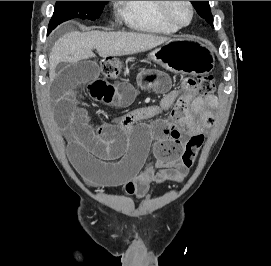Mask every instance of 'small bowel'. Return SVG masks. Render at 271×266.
I'll use <instances>...</instances> for the list:
<instances>
[{
  "instance_id": "small-bowel-1",
  "label": "small bowel",
  "mask_w": 271,
  "mask_h": 266,
  "mask_svg": "<svg viewBox=\"0 0 271 266\" xmlns=\"http://www.w3.org/2000/svg\"><path fill=\"white\" fill-rule=\"evenodd\" d=\"M52 98L57 121L67 131L69 159L89 186L123 187L127 194L144 197L152 183L180 182L186 175L182 166L183 135L198 132L213 123L214 95L185 96L170 89L169 76L144 66L136 74L144 89L165 93L159 105L149 106L116 117L94 127L85 108L78 104V89L107 105L124 107L134 98L128 82L112 84L100 76L98 66L89 60L58 64L51 71ZM170 110L169 120L142 122ZM154 142V163H147Z\"/></svg>"
}]
</instances>
